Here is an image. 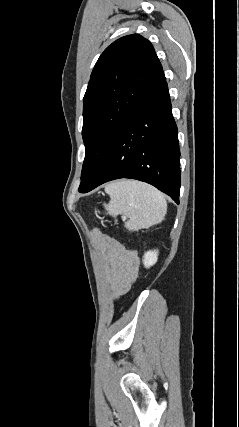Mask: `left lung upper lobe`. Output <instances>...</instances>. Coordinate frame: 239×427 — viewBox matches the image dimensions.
<instances>
[{
    "mask_svg": "<svg viewBox=\"0 0 239 427\" xmlns=\"http://www.w3.org/2000/svg\"><path fill=\"white\" fill-rule=\"evenodd\" d=\"M165 81L152 44L140 35L121 37L101 54L83 99L80 192L91 183L125 122Z\"/></svg>",
    "mask_w": 239,
    "mask_h": 427,
    "instance_id": "left-lung-upper-lobe-1",
    "label": "left lung upper lobe"
}]
</instances>
